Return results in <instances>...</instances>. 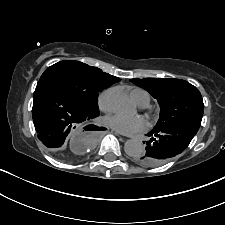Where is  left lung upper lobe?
I'll return each mask as SVG.
<instances>
[{
	"label": "left lung upper lobe",
	"instance_id": "1",
	"mask_svg": "<svg viewBox=\"0 0 225 225\" xmlns=\"http://www.w3.org/2000/svg\"><path fill=\"white\" fill-rule=\"evenodd\" d=\"M157 99L161 111L154 130L187 122H201L204 104L199 90L187 81L172 78L131 79Z\"/></svg>",
	"mask_w": 225,
	"mask_h": 225
}]
</instances>
